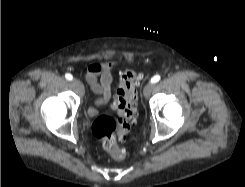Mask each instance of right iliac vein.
<instances>
[{"label":"right iliac vein","instance_id":"right-iliac-vein-1","mask_svg":"<svg viewBox=\"0 0 245 187\" xmlns=\"http://www.w3.org/2000/svg\"><path fill=\"white\" fill-rule=\"evenodd\" d=\"M71 84L80 95L84 94V86L78 79H73Z\"/></svg>","mask_w":245,"mask_h":187}]
</instances>
